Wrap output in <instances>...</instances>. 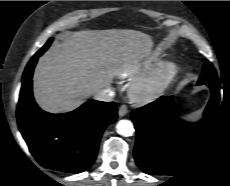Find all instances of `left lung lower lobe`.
<instances>
[{
    "mask_svg": "<svg viewBox=\"0 0 230 186\" xmlns=\"http://www.w3.org/2000/svg\"><path fill=\"white\" fill-rule=\"evenodd\" d=\"M207 86L211 89V98L204 118L197 123L178 118L171 96L160 97L132 112L137 134L134 157L143 172L173 175L204 145L221 109L219 83Z\"/></svg>",
    "mask_w": 230,
    "mask_h": 186,
    "instance_id": "1",
    "label": "left lung lower lobe"
}]
</instances>
